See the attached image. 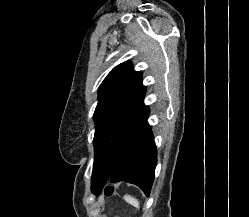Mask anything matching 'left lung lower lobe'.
<instances>
[{
	"label": "left lung lower lobe",
	"instance_id": "left-lung-lower-lobe-1",
	"mask_svg": "<svg viewBox=\"0 0 249 217\" xmlns=\"http://www.w3.org/2000/svg\"><path fill=\"white\" fill-rule=\"evenodd\" d=\"M149 108L143 101L122 122L117 138V149L111 172L95 168L93 193L100 194L108 179L126 181L139 186L149 196L155 175L157 151L150 125Z\"/></svg>",
	"mask_w": 249,
	"mask_h": 217
}]
</instances>
